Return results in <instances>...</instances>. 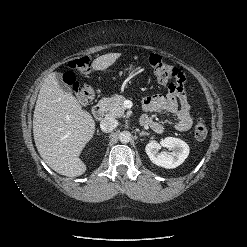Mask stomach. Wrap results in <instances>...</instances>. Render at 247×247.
I'll use <instances>...</instances> for the list:
<instances>
[{"instance_id":"0dacf381","label":"stomach","mask_w":247,"mask_h":247,"mask_svg":"<svg viewBox=\"0 0 247 247\" xmlns=\"http://www.w3.org/2000/svg\"><path fill=\"white\" fill-rule=\"evenodd\" d=\"M130 75H137L141 72V68L134 63L129 64L126 69Z\"/></svg>"}]
</instances>
